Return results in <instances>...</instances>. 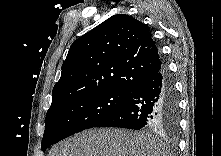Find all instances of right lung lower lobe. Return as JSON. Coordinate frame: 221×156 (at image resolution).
<instances>
[{
  "label": "right lung lower lobe",
  "mask_w": 221,
  "mask_h": 156,
  "mask_svg": "<svg viewBox=\"0 0 221 156\" xmlns=\"http://www.w3.org/2000/svg\"><path fill=\"white\" fill-rule=\"evenodd\" d=\"M178 97L166 67L140 82L127 101L95 127L153 128L176 132Z\"/></svg>",
  "instance_id": "right-lung-lower-lobe-1"
}]
</instances>
